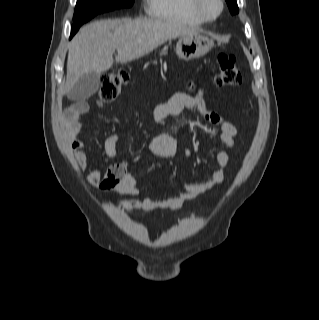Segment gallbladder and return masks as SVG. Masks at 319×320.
Here are the masks:
<instances>
[{
	"label": "gallbladder",
	"instance_id": "gallbladder-1",
	"mask_svg": "<svg viewBox=\"0 0 319 320\" xmlns=\"http://www.w3.org/2000/svg\"><path fill=\"white\" fill-rule=\"evenodd\" d=\"M100 86V75L89 73L83 75L67 93V97L73 101H84L94 95Z\"/></svg>",
	"mask_w": 319,
	"mask_h": 320
}]
</instances>
